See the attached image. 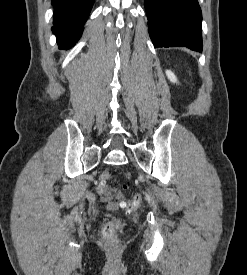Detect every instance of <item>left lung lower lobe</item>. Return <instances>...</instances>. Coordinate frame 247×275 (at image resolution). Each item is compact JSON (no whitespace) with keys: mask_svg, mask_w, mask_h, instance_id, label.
<instances>
[{"mask_svg":"<svg viewBox=\"0 0 247 275\" xmlns=\"http://www.w3.org/2000/svg\"><path fill=\"white\" fill-rule=\"evenodd\" d=\"M155 48L188 47L202 52V14L197 0H145Z\"/></svg>","mask_w":247,"mask_h":275,"instance_id":"0a47b994","label":"left lung lower lobe"}]
</instances>
